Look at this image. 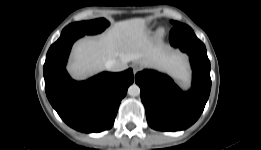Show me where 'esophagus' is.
<instances>
[{
	"mask_svg": "<svg viewBox=\"0 0 261 150\" xmlns=\"http://www.w3.org/2000/svg\"><path fill=\"white\" fill-rule=\"evenodd\" d=\"M141 70V66L139 64H135L133 66V72L134 74H136L137 72H139Z\"/></svg>",
	"mask_w": 261,
	"mask_h": 150,
	"instance_id": "34e87169",
	"label": "esophagus"
}]
</instances>
